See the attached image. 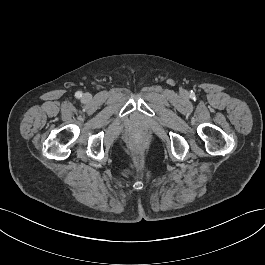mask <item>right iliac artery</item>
Masks as SVG:
<instances>
[{
  "mask_svg": "<svg viewBox=\"0 0 265 265\" xmlns=\"http://www.w3.org/2000/svg\"><path fill=\"white\" fill-rule=\"evenodd\" d=\"M75 96H76V98H80L82 96V93L78 91L75 93Z\"/></svg>",
  "mask_w": 265,
  "mask_h": 265,
  "instance_id": "right-iliac-artery-1",
  "label": "right iliac artery"
}]
</instances>
